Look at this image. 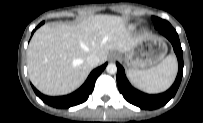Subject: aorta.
I'll list each match as a JSON object with an SVG mask.
<instances>
[{
	"instance_id": "762f6f07",
	"label": "aorta",
	"mask_w": 203,
	"mask_h": 123,
	"mask_svg": "<svg viewBox=\"0 0 203 123\" xmlns=\"http://www.w3.org/2000/svg\"><path fill=\"white\" fill-rule=\"evenodd\" d=\"M106 71L109 74H115L117 72V66L114 63H110L107 65Z\"/></svg>"
}]
</instances>
